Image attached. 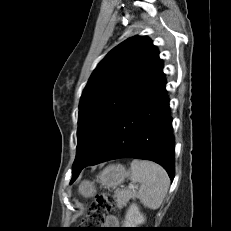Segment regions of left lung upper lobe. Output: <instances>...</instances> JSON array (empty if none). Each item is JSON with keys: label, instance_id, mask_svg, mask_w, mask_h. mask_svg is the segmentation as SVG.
<instances>
[{"label": "left lung upper lobe", "instance_id": "5c2ea615", "mask_svg": "<svg viewBox=\"0 0 231 231\" xmlns=\"http://www.w3.org/2000/svg\"><path fill=\"white\" fill-rule=\"evenodd\" d=\"M159 59V52L148 37L134 36L101 60L80 99L73 170L85 164L109 123Z\"/></svg>", "mask_w": 231, "mask_h": 231}]
</instances>
